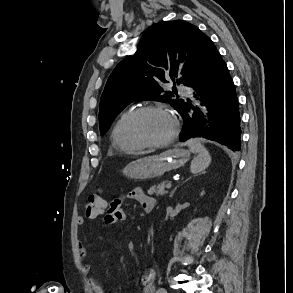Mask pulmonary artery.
Returning a JSON list of instances; mask_svg holds the SVG:
<instances>
[{"mask_svg":"<svg viewBox=\"0 0 293 293\" xmlns=\"http://www.w3.org/2000/svg\"><path fill=\"white\" fill-rule=\"evenodd\" d=\"M180 91L183 95H186V96L191 94L190 90L186 87H180Z\"/></svg>","mask_w":293,"mask_h":293,"instance_id":"pulmonary-artery-1","label":"pulmonary artery"}]
</instances>
